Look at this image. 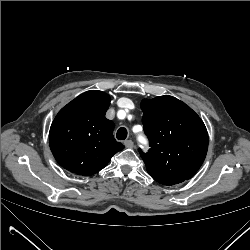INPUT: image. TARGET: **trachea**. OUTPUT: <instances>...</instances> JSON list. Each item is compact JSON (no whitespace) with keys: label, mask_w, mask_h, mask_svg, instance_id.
<instances>
[{"label":"trachea","mask_w":250,"mask_h":250,"mask_svg":"<svg viewBox=\"0 0 250 250\" xmlns=\"http://www.w3.org/2000/svg\"><path fill=\"white\" fill-rule=\"evenodd\" d=\"M127 129L124 127H121L118 129L116 137L118 140H125L127 138Z\"/></svg>","instance_id":"3493384b"}]
</instances>
